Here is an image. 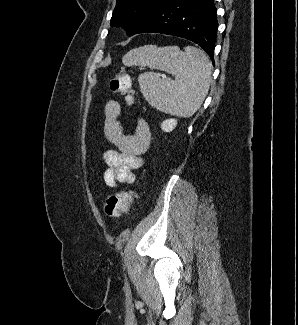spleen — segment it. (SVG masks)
I'll return each mask as SVG.
<instances>
[{"label": "spleen", "instance_id": "obj_1", "mask_svg": "<svg viewBox=\"0 0 298 325\" xmlns=\"http://www.w3.org/2000/svg\"><path fill=\"white\" fill-rule=\"evenodd\" d=\"M125 66H149L173 74L174 80L159 78L156 72L138 76L140 90L147 102L166 114L188 118L197 112L208 94L211 62L196 46H157L144 44L131 48L122 58Z\"/></svg>", "mask_w": 298, "mask_h": 325}]
</instances>
